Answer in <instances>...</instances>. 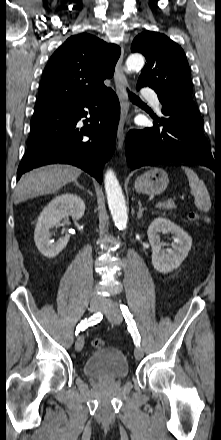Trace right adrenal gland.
I'll list each match as a JSON object with an SVG mask.
<instances>
[{
    "mask_svg": "<svg viewBox=\"0 0 221 440\" xmlns=\"http://www.w3.org/2000/svg\"><path fill=\"white\" fill-rule=\"evenodd\" d=\"M75 184H76L80 189H83V190H84V187L81 186V185L78 183V181H75Z\"/></svg>",
    "mask_w": 221,
    "mask_h": 440,
    "instance_id": "right-adrenal-gland-1",
    "label": "right adrenal gland"
}]
</instances>
